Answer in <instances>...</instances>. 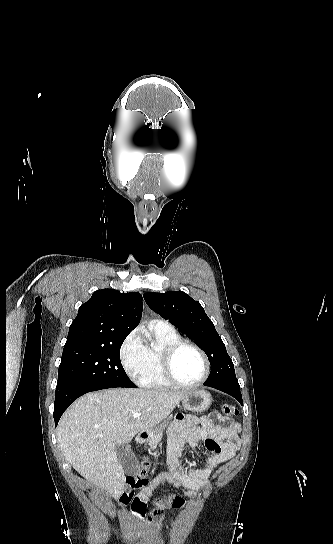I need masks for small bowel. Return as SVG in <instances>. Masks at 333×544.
Masks as SVG:
<instances>
[{
    "instance_id": "obj_1",
    "label": "small bowel",
    "mask_w": 333,
    "mask_h": 544,
    "mask_svg": "<svg viewBox=\"0 0 333 544\" xmlns=\"http://www.w3.org/2000/svg\"><path fill=\"white\" fill-rule=\"evenodd\" d=\"M238 427L230 419L219 413L197 418L186 415L176 419L168 433L169 471L154 478L143 488L132 503V512L140 519L144 518L146 505L153 492L161 485L169 483L175 488H183L192 495L203 488L217 467L231 460L239 447ZM204 441L209 455L204 458V468L184 467L180 458L186 445L195 449ZM185 500L177 495L155 500L156 509L153 518L161 516L167 508L184 507Z\"/></svg>"
}]
</instances>
